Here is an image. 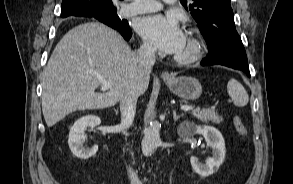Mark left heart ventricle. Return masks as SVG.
Returning <instances> with one entry per match:
<instances>
[{"label": "left heart ventricle", "mask_w": 293, "mask_h": 184, "mask_svg": "<svg viewBox=\"0 0 293 184\" xmlns=\"http://www.w3.org/2000/svg\"><path fill=\"white\" fill-rule=\"evenodd\" d=\"M192 50V40L188 35L184 36V41L180 47V49L175 53V55L183 56L187 55Z\"/></svg>", "instance_id": "left-heart-ventricle-1"}]
</instances>
